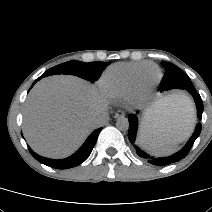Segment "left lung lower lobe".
Returning a JSON list of instances; mask_svg holds the SVG:
<instances>
[{"label":"left lung lower lobe","instance_id":"obj_1","mask_svg":"<svg viewBox=\"0 0 212 212\" xmlns=\"http://www.w3.org/2000/svg\"><path fill=\"white\" fill-rule=\"evenodd\" d=\"M184 90L188 91L193 96L196 103V107H197V117L199 120H201L202 113H203V102L199 93L196 91L194 87L189 89H184ZM138 113L139 112L137 111L136 114ZM136 114H130L128 117V121H129L128 138L132 144H135V138H136V133L138 128V119ZM200 132H201V123H198L196 125V129L192 137L189 139L187 144L179 152L169 157H151L148 154H146L144 151L139 149L136 145H134V147L137 151V154L140 157L147 159L149 163L156 166H165V165L180 161L182 158H184L190 151L191 147L194 144V141L199 136Z\"/></svg>","mask_w":212,"mask_h":212}]
</instances>
